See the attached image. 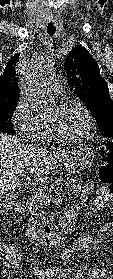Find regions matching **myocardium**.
<instances>
[{
	"instance_id": "1",
	"label": "myocardium",
	"mask_w": 113,
	"mask_h": 279,
	"mask_svg": "<svg viewBox=\"0 0 113 279\" xmlns=\"http://www.w3.org/2000/svg\"><path fill=\"white\" fill-rule=\"evenodd\" d=\"M70 105L77 106L83 112V114L85 116L86 127H85V130L83 131V133H81L78 136H74V137L63 136L53 127V125H51L49 122L46 121L47 127H48L49 131L51 132V134L54 136V138L63 143H76V142H80V141L87 139L90 136V134L92 133L93 127H94V120H93L91 112L80 100H77L74 98H68V99L61 101L57 105V107L60 109H63Z\"/></svg>"
}]
</instances>
